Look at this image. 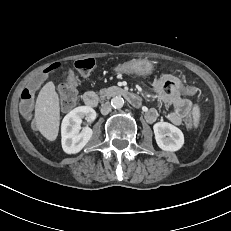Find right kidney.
Wrapping results in <instances>:
<instances>
[{"instance_id": "1", "label": "right kidney", "mask_w": 231, "mask_h": 231, "mask_svg": "<svg viewBox=\"0 0 231 231\" xmlns=\"http://www.w3.org/2000/svg\"><path fill=\"white\" fill-rule=\"evenodd\" d=\"M83 118L88 122L94 121L96 118L95 110L89 106H79L70 111L62 121L61 142L62 148L67 154L80 152L92 137L91 128H81Z\"/></svg>"}]
</instances>
